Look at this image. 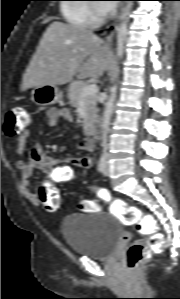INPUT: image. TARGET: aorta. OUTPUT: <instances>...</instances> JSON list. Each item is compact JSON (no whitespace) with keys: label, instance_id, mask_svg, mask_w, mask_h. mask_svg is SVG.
I'll list each match as a JSON object with an SVG mask.
<instances>
[{"label":"aorta","instance_id":"aorta-1","mask_svg":"<svg viewBox=\"0 0 180 299\" xmlns=\"http://www.w3.org/2000/svg\"><path fill=\"white\" fill-rule=\"evenodd\" d=\"M132 6H133V2L127 1L121 16V21L117 27L116 52L119 58H122L124 52L125 41H126V36L128 31L129 15ZM116 92H117V86L114 85L111 88V94L109 95L105 103V109L103 112L102 125H101L104 138L106 137V134L109 131V124L114 110Z\"/></svg>","mask_w":180,"mask_h":299}]
</instances>
